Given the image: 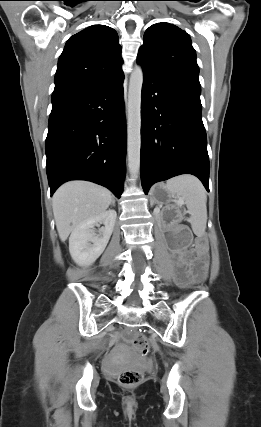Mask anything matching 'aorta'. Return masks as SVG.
I'll use <instances>...</instances> for the list:
<instances>
[{"label":"aorta","instance_id":"1","mask_svg":"<svg viewBox=\"0 0 261 427\" xmlns=\"http://www.w3.org/2000/svg\"><path fill=\"white\" fill-rule=\"evenodd\" d=\"M143 71L135 66L129 81L128 88V122H127V152L128 167L132 177H136L140 170L141 150V91Z\"/></svg>","mask_w":261,"mask_h":427}]
</instances>
